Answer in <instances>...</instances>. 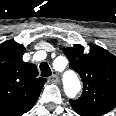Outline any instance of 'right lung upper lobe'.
<instances>
[{
  "label": "right lung upper lobe",
  "mask_w": 116,
  "mask_h": 116,
  "mask_svg": "<svg viewBox=\"0 0 116 116\" xmlns=\"http://www.w3.org/2000/svg\"><path fill=\"white\" fill-rule=\"evenodd\" d=\"M25 47L14 41L0 44V116H21L37 101L46 82L37 67L22 60Z\"/></svg>",
  "instance_id": "obj_1"
}]
</instances>
